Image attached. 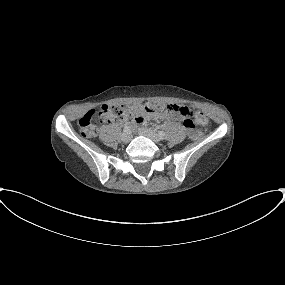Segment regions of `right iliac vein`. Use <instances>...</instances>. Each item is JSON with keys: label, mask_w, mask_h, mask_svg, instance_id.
I'll use <instances>...</instances> for the list:
<instances>
[{"label": "right iliac vein", "mask_w": 285, "mask_h": 285, "mask_svg": "<svg viewBox=\"0 0 285 285\" xmlns=\"http://www.w3.org/2000/svg\"><path fill=\"white\" fill-rule=\"evenodd\" d=\"M131 134L129 133V132H125V133H123L122 134V141L124 142V143H128L130 140H131Z\"/></svg>", "instance_id": "1"}]
</instances>
